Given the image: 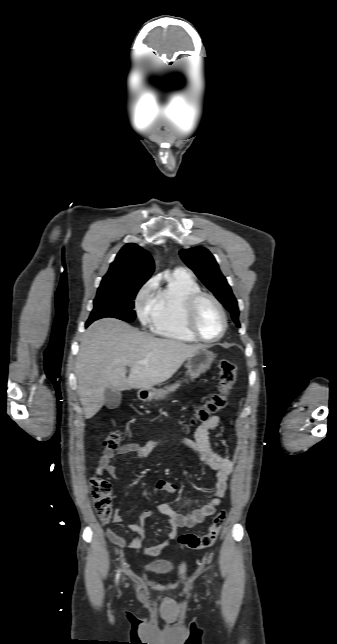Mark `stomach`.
Here are the masks:
<instances>
[{
    "label": "stomach",
    "mask_w": 337,
    "mask_h": 644,
    "mask_svg": "<svg viewBox=\"0 0 337 644\" xmlns=\"http://www.w3.org/2000/svg\"><path fill=\"white\" fill-rule=\"evenodd\" d=\"M214 359V354L206 347L201 348L195 354L187 359L186 367L188 377L191 381L198 378L201 374L205 373L211 366ZM187 381V380H186ZM164 390H150L147 389L140 393L143 399H160L163 397Z\"/></svg>",
    "instance_id": "obj_1"
}]
</instances>
